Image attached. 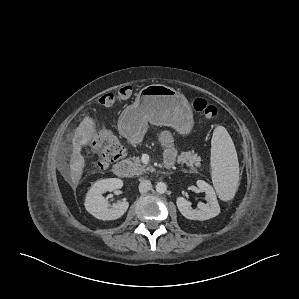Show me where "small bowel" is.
Here are the masks:
<instances>
[{"instance_id": "obj_1", "label": "small bowel", "mask_w": 299, "mask_h": 299, "mask_svg": "<svg viewBox=\"0 0 299 299\" xmlns=\"http://www.w3.org/2000/svg\"><path fill=\"white\" fill-rule=\"evenodd\" d=\"M159 139L166 148L164 153L165 163L171 165L177 156V151L173 146L172 135L168 131H163L161 132Z\"/></svg>"}]
</instances>
